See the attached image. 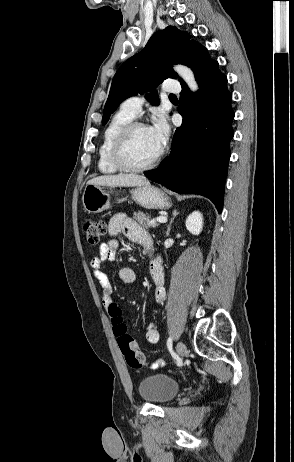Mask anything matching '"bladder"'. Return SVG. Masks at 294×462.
Wrapping results in <instances>:
<instances>
[{"label":"bladder","instance_id":"obj_1","mask_svg":"<svg viewBox=\"0 0 294 462\" xmlns=\"http://www.w3.org/2000/svg\"><path fill=\"white\" fill-rule=\"evenodd\" d=\"M140 397L151 404L161 405L171 401L179 392V383L166 374H154L138 382Z\"/></svg>","mask_w":294,"mask_h":462}]
</instances>
